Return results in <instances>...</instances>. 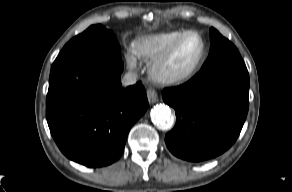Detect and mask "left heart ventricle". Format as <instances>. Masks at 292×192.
I'll return each mask as SVG.
<instances>
[{
	"label": "left heart ventricle",
	"mask_w": 292,
	"mask_h": 192,
	"mask_svg": "<svg viewBox=\"0 0 292 192\" xmlns=\"http://www.w3.org/2000/svg\"><path fill=\"white\" fill-rule=\"evenodd\" d=\"M202 52V43L196 35L186 37L177 49L169 64V70L181 73L190 69Z\"/></svg>",
	"instance_id": "1"
}]
</instances>
